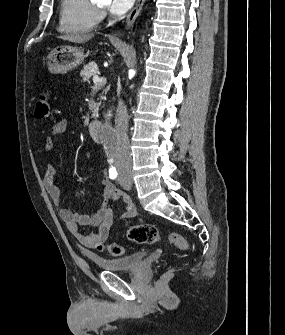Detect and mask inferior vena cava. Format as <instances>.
<instances>
[{
  "mask_svg": "<svg viewBox=\"0 0 285 335\" xmlns=\"http://www.w3.org/2000/svg\"><path fill=\"white\" fill-rule=\"evenodd\" d=\"M128 122V110L126 106H124L122 100H119L115 116L117 134L116 156L118 162H128V164H131L130 144L127 136Z\"/></svg>",
  "mask_w": 285,
  "mask_h": 335,
  "instance_id": "602c4592",
  "label": "inferior vena cava"
}]
</instances>
